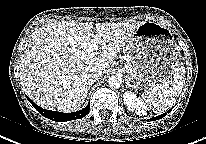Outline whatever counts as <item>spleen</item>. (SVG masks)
I'll list each match as a JSON object with an SVG mask.
<instances>
[{"label": "spleen", "mask_w": 206, "mask_h": 144, "mask_svg": "<svg viewBox=\"0 0 206 144\" xmlns=\"http://www.w3.org/2000/svg\"><path fill=\"white\" fill-rule=\"evenodd\" d=\"M185 83L183 67L176 69L173 78L170 77L160 86H154L142 94V99L155 113H163L169 109L180 95Z\"/></svg>", "instance_id": "3e777b00"}]
</instances>
